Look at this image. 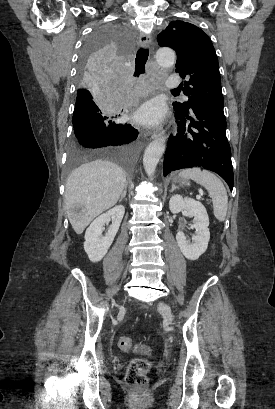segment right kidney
Masks as SVG:
<instances>
[{
  "instance_id": "1",
  "label": "right kidney",
  "mask_w": 275,
  "mask_h": 409,
  "mask_svg": "<svg viewBox=\"0 0 275 409\" xmlns=\"http://www.w3.org/2000/svg\"><path fill=\"white\" fill-rule=\"evenodd\" d=\"M125 207L123 205H117L113 207L104 215L97 217L90 227H88L85 233L84 251L88 255V259L92 263H98L103 257H105L109 247H111L116 233L120 227V223L124 217ZM112 221L105 237H102L104 231L103 225Z\"/></svg>"
}]
</instances>
